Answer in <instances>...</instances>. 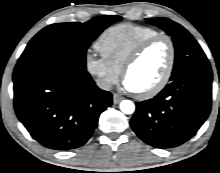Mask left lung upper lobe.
Masks as SVG:
<instances>
[{
  "mask_svg": "<svg viewBox=\"0 0 220 173\" xmlns=\"http://www.w3.org/2000/svg\"><path fill=\"white\" fill-rule=\"evenodd\" d=\"M146 21L172 36L175 62L170 80L186 73L211 70L209 61L193 36L180 24L166 18H149Z\"/></svg>",
  "mask_w": 220,
  "mask_h": 173,
  "instance_id": "obj_1",
  "label": "left lung upper lobe"
}]
</instances>
